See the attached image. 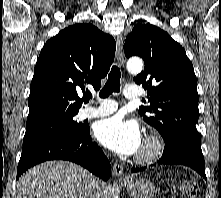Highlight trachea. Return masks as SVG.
Wrapping results in <instances>:
<instances>
[{
    "label": "trachea",
    "instance_id": "trachea-1",
    "mask_svg": "<svg viewBox=\"0 0 221 198\" xmlns=\"http://www.w3.org/2000/svg\"><path fill=\"white\" fill-rule=\"evenodd\" d=\"M120 78H121V72L118 66L114 65L111 68V71L108 75V80L103 87V89L100 91L99 96L101 98H106L113 92H120ZM88 98H92V94L87 95Z\"/></svg>",
    "mask_w": 221,
    "mask_h": 198
}]
</instances>
